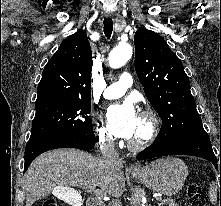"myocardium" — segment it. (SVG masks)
<instances>
[{"label":"myocardium","mask_w":221,"mask_h":206,"mask_svg":"<svg viewBox=\"0 0 221 206\" xmlns=\"http://www.w3.org/2000/svg\"><path fill=\"white\" fill-rule=\"evenodd\" d=\"M141 118L146 123V132L139 140H130L128 147L131 150L139 151L148 147L156 138L159 132V120L157 114L150 108H146L141 113Z\"/></svg>","instance_id":"myocardium-1"}]
</instances>
